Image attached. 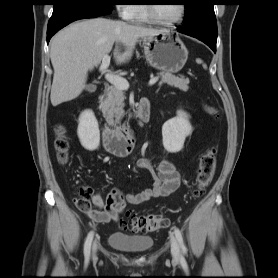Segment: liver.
I'll list each match as a JSON object with an SVG mask.
<instances>
[{
	"instance_id": "obj_1",
	"label": "liver",
	"mask_w": 278,
	"mask_h": 278,
	"mask_svg": "<svg viewBox=\"0 0 278 278\" xmlns=\"http://www.w3.org/2000/svg\"><path fill=\"white\" fill-rule=\"evenodd\" d=\"M162 32L105 18L79 21L59 31L52 38L50 48L54 68L50 94L52 105L77 98L85 88L88 71L100 64L114 44V57L117 63H123L132 57L140 38ZM118 45L125 47L123 53L119 52Z\"/></svg>"
}]
</instances>
